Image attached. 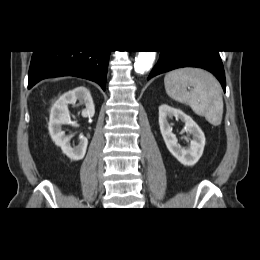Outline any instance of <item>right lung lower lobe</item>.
Returning a JSON list of instances; mask_svg holds the SVG:
<instances>
[{
  "mask_svg": "<svg viewBox=\"0 0 260 260\" xmlns=\"http://www.w3.org/2000/svg\"><path fill=\"white\" fill-rule=\"evenodd\" d=\"M110 51H34L29 69L28 89L39 81L76 76L106 88Z\"/></svg>",
  "mask_w": 260,
  "mask_h": 260,
  "instance_id": "right-lung-lower-lobe-1",
  "label": "right lung lower lobe"
}]
</instances>
